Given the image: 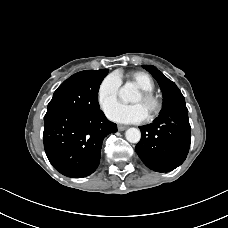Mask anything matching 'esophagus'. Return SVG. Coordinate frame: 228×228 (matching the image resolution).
<instances>
[{
  "label": "esophagus",
  "instance_id": "esophagus-1",
  "mask_svg": "<svg viewBox=\"0 0 228 228\" xmlns=\"http://www.w3.org/2000/svg\"><path fill=\"white\" fill-rule=\"evenodd\" d=\"M125 129H127V126L118 125V130H119V131H124Z\"/></svg>",
  "mask_w": 228,
  "mask_h": 228
}]
</instances>
